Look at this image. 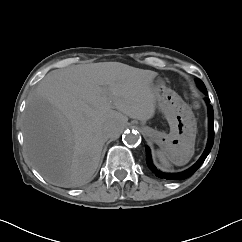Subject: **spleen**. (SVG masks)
<instances>
[{
    "mask_svg": "<svg viewBox=\"0 0 242 242\" xmlns=\"http://www.w3.org/2000/svg\"><path fill=\"white\" fill-rule=\"evenodd\" d=\"M194 153V151H193ZM192 153V155H193ZM156 154L162 164V168L164 170H167L169 167H170V162L175 164V165H184L186 164L189 159H183L182 156L177 152V151H167V150H164V149H161V150H157L156 151Z\"/></svg>",
    "mask_w": 242,
    "mask_h": 242,
    "instance_id": "obj_1",
    "label": "spleen"
}]
</instances>
